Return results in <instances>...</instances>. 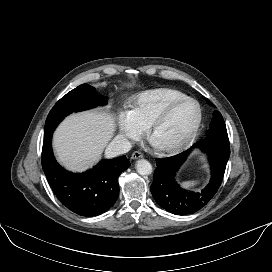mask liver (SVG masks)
Instances as JSON below:
<instances>
[{
	"mask_svg": "<svg viewBox=\"0 0 272 272\" xmlns=\"http://www.w3.org/2000/svg\"><path fill=\"white\" fill-rule=\"evenodd\" d=\"M115 129L113 114L104 110L68 116L57 127L53 137L59 162L72 171L88 169L99 160Z\"/></svg>",
	"mask_w": 272,
	"mask_h": 272,
	"instance_id": "liver-1",
	"label": "liver"
}]
</instances>
